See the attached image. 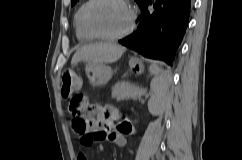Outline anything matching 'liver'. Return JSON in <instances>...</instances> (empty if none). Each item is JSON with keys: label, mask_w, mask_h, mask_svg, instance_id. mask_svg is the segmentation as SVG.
<instances>
[{"label": "liver", "mask_w": 242, "mask_h": 160, "mask_svg": "<svg viewBox=\"0 0 242 160\" xmlns=\"http://www.w3.org/2000/svg\"><path fill=\"white\" fill-rule=\"evenodd\" d=\"M126 48L114 43H97L85 45L73 55L71 64L80 61L91 63H113L120 59Z\"/></svg>", "instance_id": "1"}]
</instances>
